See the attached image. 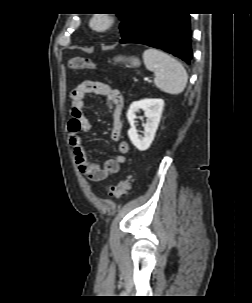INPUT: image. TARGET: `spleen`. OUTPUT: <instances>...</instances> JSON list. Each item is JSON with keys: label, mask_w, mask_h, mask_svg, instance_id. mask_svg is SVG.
I'll return each mask as SVG.
<instances>
[{"label": "spleen", "mask_w": 252, "mask_h": 303, "mask_svg": "<svg viewBox=\"0 0 252 303\" xmlns=\"http://www.w3.org/2000/svg\"><path fill=\"white\" fill-rule=\"evenodd\" d=\"M145 67L155 73L154 84L162 91L177 95L184 91L187 73L182 64L170 55L149 48L143 53Z\"/></svg>", "instance_id": "1"}]
</instances>
